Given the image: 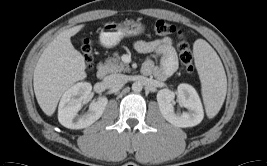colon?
<instances>
[{
    "mask_svg": "<svg viewBox=\"0 0 267 166\" xmlns=\"http://www.w3.org/2000/svg\"><path fill=\"white\" fill-rule=\"evenodd\" d=\"M153 31L157 35L166 36V35H174L178 38V50L180 61L186 71L188 73H192L194 71V64L192 59V54L190 50L189 43L185 39L183 32L176 28L174 25L169 22L158 19L153 22ZM82 52L84 55L85 62L88 67H92L93 64V47L89 40H84L82 44Z\"/></svg>",
    "mask_w": 267,
    "mask_h": 166,
    "instance_id": "colon-1",
    "label": "colon"
}]
</instances>
